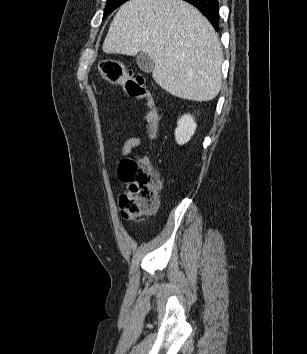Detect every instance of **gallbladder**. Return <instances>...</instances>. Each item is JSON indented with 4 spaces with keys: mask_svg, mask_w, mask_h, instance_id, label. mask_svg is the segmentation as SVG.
I'll use <instances>...</instances> for the list:
<instances>
[{
    "mask_svg": "<svg viewBox=\"0 0 307 354\" xmlns=\"http://www.w3.org/2000/svg\"><path fill=\"white\" fill-rule=\"evenodd\" d=\"M136 62L140 70L150 73L154 68V61L147 53H139L136 57Z\"/></svg>",
    "mask_w": 307,
    "mask_h": 354,
    "instance_id": "obj_1",
    "label": "gallbladder"
}]
</instances>
